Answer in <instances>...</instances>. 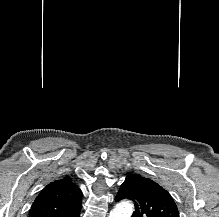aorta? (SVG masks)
Masks as SVG:
<instances>
[{
  "label": "aorta",
  "mask_w": 219,
  "mask_h": 217,
  "mask_svg": "<svg viewBox=\"0 0 219 217\" xmlns=\"http://www.w3.org/2000/svg\"><path fill=\"white\" fill-rule=\"evenodd\" d=\"M133 212V205L129 201H122L118 203L110 212L109 217H131Z\"/></svg>",
  "instance_id": "1"
}]
</instances>
